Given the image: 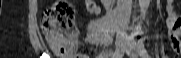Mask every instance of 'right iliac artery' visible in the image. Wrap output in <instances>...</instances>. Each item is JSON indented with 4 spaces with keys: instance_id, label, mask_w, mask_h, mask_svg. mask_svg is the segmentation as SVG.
<instances>
[{
    "instance_id": "obj_1",
    "label": "right iliac artery",
    "mask_w": 181,
    "mask_h": 58,
    "mask_svg": "<svg viewBox=\"0 0 181 58\" xmlns=\"http://www.w3.org/2000/svg\"><path fill=\"white\" fill-rule=\"evenodd\" d=\"M124 53V50L115 51L112 58H121Z\"/></svg>"
}]
</instances>
